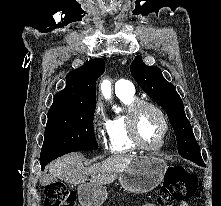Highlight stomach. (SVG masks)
<instances>
[{"mask_svg":"<svg viewBox=\"0 0 221 206\" xmlns=\"http://www.w3.org/2000/svg\"><path fill=\"white\" fill-rule=\"evenodd\" d=\"M166 162L158 157L138 156L128 163L118 176L121 187L131 193H147L156 188L164 179ZM107 197L103 185L84 183L78 187L81 206H100Z\"/></svg>","mask_w":221,"mask_h":206,"instance_id":"stomach-1","label":"stomach"}]
</instances>
